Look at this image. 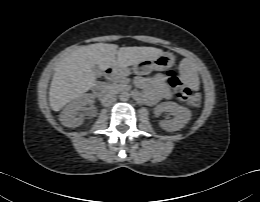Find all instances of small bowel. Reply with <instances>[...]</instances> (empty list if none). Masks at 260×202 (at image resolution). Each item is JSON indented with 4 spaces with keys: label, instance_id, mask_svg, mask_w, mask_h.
<instances>
[{
    "label": "small bowel",
    "instance_id": "c3829d8e",
    "mask_svg": "<svg viewBox=\"0 0 260 202\" xmlns=\"http://www.w3.org/2000/svg\"><path fill=\"white\" fill-rule=\"evenodd\" d=\"M136 84L145 92L144 94H139V98L150 105L157 104L171 97L163 74L159 73L151 77H137Z\"/></svg>",
    "mask_w": 260,
    "mask_h": 202
}]
</instances>
